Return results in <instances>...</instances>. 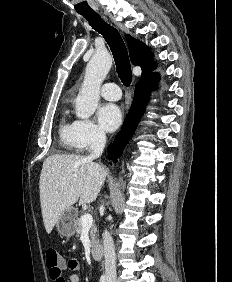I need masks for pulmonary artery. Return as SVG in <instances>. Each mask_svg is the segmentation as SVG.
Segmentation results:
<instances>
[{"label": "pulmonary artery", "mask_w": 232, "mask_h": 282, "mask_svg": "<svg viewBox=\"0 0 232 282\" xmlns=\"http://www.w3.org/2000/svg\"><path fill=\"white\" fill-rule=\"evenodd\" d=\"M100 94L107 100L116 101L121 97V90L117 84L109 82L101 87Z\"/></svg>", "instance_id": "1"}]
</instances>
